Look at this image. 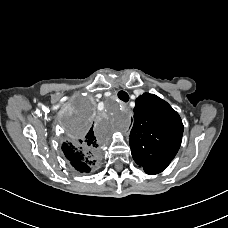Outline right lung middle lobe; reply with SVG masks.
Masks as SVG:
<instances>
[{"label":"right lung middle lobe","instance_id":"right-lung-middle-lobe-1","mask_svg":"<svg viewBox=\"0 0 228 228\" xmlns=\"http://www.w3.org/2000/svg\"><path fill=\"white\" fill-rule=\"evenodd\" d=\"M77 116H78V120H79V129L76 130L73 134V136H79L81 134H83L84 131H86L93 119H94V115H93V111L91 110L89 104L86 101H81L78 105V110H77ZM94 123V122H93Z\"/></svg>","mask_w":228,"mask_h":228}]
</instances>
